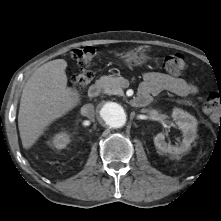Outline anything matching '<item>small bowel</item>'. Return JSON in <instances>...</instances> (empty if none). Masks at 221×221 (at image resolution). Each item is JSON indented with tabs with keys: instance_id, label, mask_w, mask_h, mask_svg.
Wrapping results in <instances>:
<instances>
[{
	"instance_id": "obj_1",
	"label": "small bowel",
	"mask_w": 221,
	"mask_h": 221,
	"mask_svg": "<svg viewBox=\"0 0 221 221\" xmlns=\"http://www.w3.org/2000/svg\"><path fill=\"white\" fill-rule=\"evenodd\" d=\"M161 91L187 96L197 94L198 88L192 82L177 76L159 72L145 73L140 86V93L155 96Z\"/></svg>"
}]
</instances>
